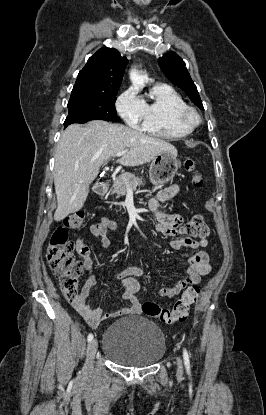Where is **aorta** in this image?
I'll list each match as a JSON object with an SVG mask.
<instances>
[{
    "label": "aorta",
    "instance_id": "762f6f07",
    "mask_svg": "<svg viewBox=\"0 0 266 415\" xmlns=\"http://www.w3.org/2000/svg\"><path fill=\"white\" fill-rule=\"evenodd\" d=\"M130 79L134 85H141L144 83L143 76H141L135 68L130 71Z\"/></svg>",
    "mask_w": 266,
    "mask_h": 415
}]
</instances>
